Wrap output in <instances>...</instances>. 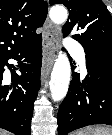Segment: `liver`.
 <instances>
[{
  "instance_id": "1",
  "label": "liver",
  "mask_w": 112,
  "mask_h": 135,
  "mask_svg": "<svg viewBox=\"0 0 112 135\" xmlns=\"http://www.w3.org/2000/svg\"><path fill=\"white\" fill-rule=\"evenodd\" d=\"M0 135H10V133L0 129Z\"/></svg>"
}]
</instances>
